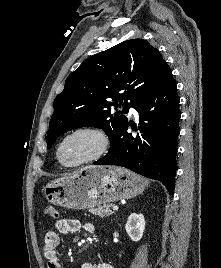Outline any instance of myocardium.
<instances>
[{
	"mask_svg": "<svg viewBox=\"0 0 221 268\" xmlns=\"http://www.w3.org/2000/svg\"><path fill=\"white\" fill-rule=\"evenodd\" d=\"M79 134L92 135L97 141L96 147L90 154L80 159L79 161L73 163H66L60 157L61 148L67 140ZM109 147L110 138L103 129L95 126H82L69 131L59 140L55 147V158L57 162L63 167L76 168L100 159L107 153Z\"/></svg>",
	"mask_w": 221,
	"mask_h": 268,
	"instance_id": "myocardium-1",
	"label": "myocardium"
}]
</instances>
